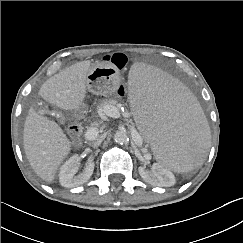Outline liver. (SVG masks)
Instances as JSON below:
<instances>
[{"instance_id": "1", "label": "liver", "mask_w": 243, "mask_h": 243, "mask_svg": "<svg viewBox=\"0 0 243 243\" xmlns=\"http://www.w3.org/2000/svg\"><path fill=\"white\" fill-rule=\"evenodd\" d=\"M91 61H81L50 77L39 96L63 110H78L84 102ZM23 144L34 172L52 182L58 167L71 150V143L60 126L31 107L24 124Z\"/></svg>"}]
</instances>
